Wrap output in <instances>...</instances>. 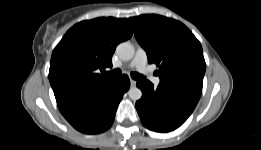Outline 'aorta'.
<instances>
[{
    "instance_id": "1",
    "label": "aorta",
    "mask_w": 261,
    "mask_h": 150,
    "mask_svg": "<svg viewBox=\"0 0 261 150\" xmlns=\"http://www.w3.org/2000/svg\"><path fill=\"white\" fill-rule=\"evenodd\" d=\"M116 53L122 60H130L134 56L135 49L130 42H123L117 46ZM128 95L131 100L137 101L141 99L142 92L137 87H131L128 91Z\"/></svg>"
}]
</instances>
